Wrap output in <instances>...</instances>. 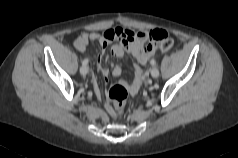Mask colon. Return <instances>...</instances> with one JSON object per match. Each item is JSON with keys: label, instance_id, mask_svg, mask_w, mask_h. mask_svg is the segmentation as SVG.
I'll return each mask as SVG.
<instances>
[{"label": "colon", "instance_id": "5ec220e1", "mask_svg": "<svg viewBox=\"0 0 238 158\" xmlns=\"http://www.w3.org/2000/svg\"><path fill=\"white\" fill-rule=\"evenodd\" d=\"M158 47L162 52L170 50L173 46V41L167 35H157ZM108 111L114 117L120 116L126 107L128 99V90L122 84L113 85L108 93Z\"/></svg>", "mask_w": 238, "mask_h": 158}]
</instances>
